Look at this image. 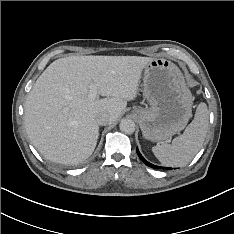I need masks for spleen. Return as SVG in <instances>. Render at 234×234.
I'll use <instances>...</instances> for the list:
<instances>
[{
    "instance_id": "1",
    "label": "spleen",
    "mask_w": 234,
    "mask_h": 234,
    "mask_svg": "<svg viewBox=\"0 0 234 234\" xmlns=\"http://www.w3.org/2000/svg\"><path fill=\"white\" fill-rule=\"evenodd\" d=\"M209 127L207 105L200 103L193 121L183 134L173 139L172 144H157L152 147L155 157L165 166L187 165L202 147Z\"/></svg>"
}]
</instances>
